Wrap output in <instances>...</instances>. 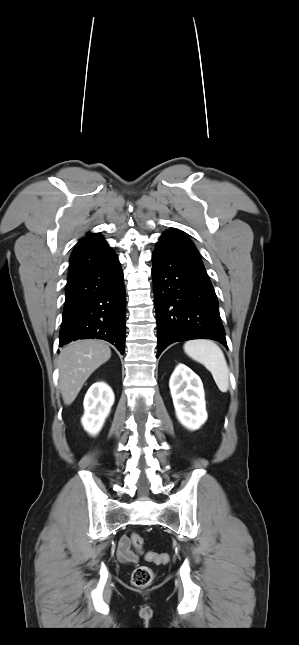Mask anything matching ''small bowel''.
<instances>
[{
	"instance_id": "obj_1",
	"label": "small bowel",
	"mask_w": 299,
	"mask_h": 645,
	"mask_svg": "<svg viewBox=\"0 0 299 645\" xmlns=\"http://www.w3.org/2000/svg\"><path fill=\"white\" fill-rule=\"evenodd\" d=\"M118 555L125 562H136L137 557L131 550V539L122 536L118 542Z\"/></svg>"
}]
</instances>
